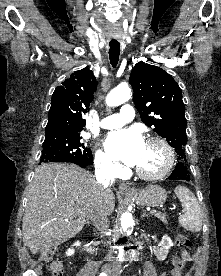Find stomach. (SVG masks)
<instances>
[{
  "instance_id": "1",
  "label": "stomach",
  "mask_w": 221,
  "mask_h": 276,
  "mask_svg": "<svg viewBox=\"0 0 221 276\" xmlns=\"http://www.w3.org/2000/svg\"><path fill=\"white\" fill-rule=\"evenodd\" d=\"M128 198L141 206L158 207L165 203L167 193L158 185H150L136 191L133 195H128Z\"/></svg>"
}]
</instances>
